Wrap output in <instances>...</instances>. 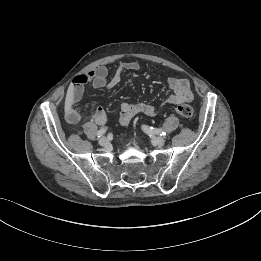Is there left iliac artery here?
I'll list each match as a JSON object with an SVG mask.
<instances>
[{"instance_id": "1", "label": "left iliac artery", "mask_w": 261, "mask_h": 261, "mask_svg": "<svg viewBox=\"0 0 261 261\" xmlns=\"http://www.w3.org/2000/svg\"><path fill=\"white\" fill-rule=\"evenodd\" d=\"M142 128L149 135H153V134H160L162 136L166 135V132H164L162 129L153 128L146 125H143Z\"/></svg>"}]
</instances>
